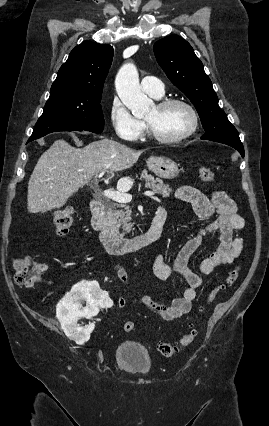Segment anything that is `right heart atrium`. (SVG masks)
<instances>
[{
    "instance_id": "obj_1",
    "label": "right heart atrium",
    "mask_w": 269,
    "mask_h": 426,
    "mask_svg": "<svg viewBox=\"0 0 269 426\" xmlns=\"http://www.w3.org/2000/svg\"><path fill=\"white\" fill-rule=\"evenodd\" d=\"M109 120L115 134L123 140H138L145 132L144 123L137 119L117 96L110 100Z\"/></svg>"
}]
</instances>
